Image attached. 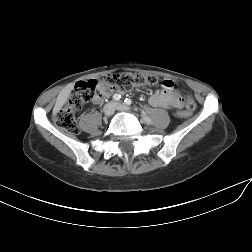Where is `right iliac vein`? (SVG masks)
<instances>
[{
	"label": "right iliac vein",
	"instance_id": "obj_1",
	"mask_svg": "<svg viewBox=\"0 0 252 252\" xmlns=\"http://www.w3.org/2000/svg\"><path fill=\"white\" fill-rule=\"evenodd\" d=\"M115 110V104L114 103H108L107 105H105L104 109H103V113L105 117H110L112 116V114L114 113Z\"/></svg>",
	"mask_w": 252,
	"mask_h": 252
}]
</instances>
